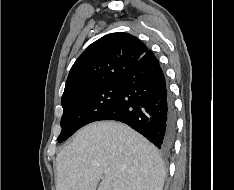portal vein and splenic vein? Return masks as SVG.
<instances>
[{
    "label": "portal vein and splenic vein",
    "instance_id": "portal-vein-and-splenic-vein-1",
    "mask_svg": "<svg viewBox=\"0 0 234 190\" xmlns=\"http://www.w3.org/2000/svg\"><path fill=\"white\" fill-rule=\"evenodd\" d=\"M109 173V170H105L104 174L107 175Z\"/></svg>",
    "mask_w": 234,
    "mask_h": 190
}]
</instances>
